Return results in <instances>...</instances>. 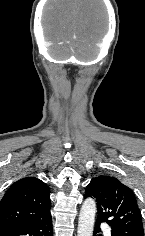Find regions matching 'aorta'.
Instances as JSON below:
<instances>
[{
  "mask_svg": "<svg viewBox=\"0 0 145 236\" xmlns=\"http://www.w3.org/2000/svg\"><path fill=\"white\" fill-rule=\"evenodd\" d=\"M96 213V203L88 198L84 201L79 215L77 236H92Z\"/></svg>",
  "mask_w": 145,
  "mask_h": 236,
  "instance_id": "obj_1",
  "label": "aorta"
}]
</instances>
